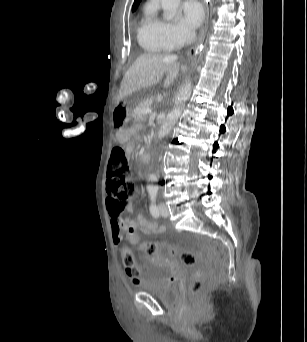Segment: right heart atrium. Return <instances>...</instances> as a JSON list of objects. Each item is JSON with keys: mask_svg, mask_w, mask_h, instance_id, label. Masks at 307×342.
<instances>
[{"mask_svg": "<svg viewBox=\"0 0 307 342\" xmlns=\"http://www.w3.org/2000/svg\"><path fill=\"white\" fill-rule=\"evenodd\" d=\"M156 28L159 36L168 46H180L183 31L177 25H166L157 23Z\"/></svg>", "mask_w": 307, "mask_h": 342, "instance_id": "d8ad5b80", "label": "right heart atrium"}]
</instances>
